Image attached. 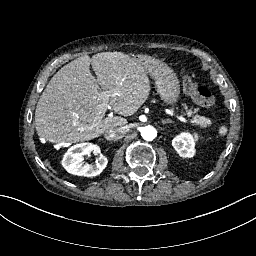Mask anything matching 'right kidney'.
I'll list each match as a JSON object with an SVG mask.
<instances>
[{
	"instance_id": "obj_1",
	"label": "right kidney",
	"mask_w": 256,
	"mask_h": 256,
	"mask_svg": "<svg viewBox=\"0 0 256 256\" xmlns=\"http://www.w3.org/2000/svg\"><path fill=\"white\" fill-rule=\"evenodd\" d=\"M96 149V145L85 142L76 144L64 154L62 166L73 175L92 177L99 175L106 167L108 160L100 155L95 164H84V155L90 154Z\"/></svg>"
}]
</instances>
